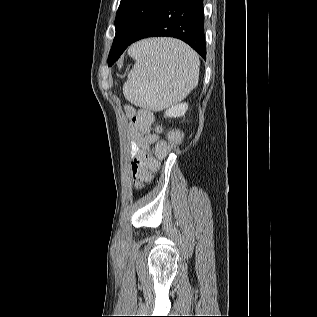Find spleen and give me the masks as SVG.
<instances>
[{
  "label": "spleen",
  "mask_w": 317,
  "mask_h": 317,
  "mask_svg": "<svg viewBox=\"0 0 317 317\" xmlns=\"http://www.w3.org/2000/svg\"><path fill=\"white\" fill-rule=\"evenodd\" d=\"M128 53L135 64L123 94L136 106L163 110L182 101L198 84V55L181 41L146 39L133 44Z\"/></svg>",
  "instance_id": "3e777b00"
}]
</instances>
